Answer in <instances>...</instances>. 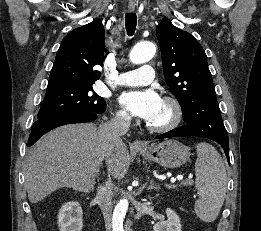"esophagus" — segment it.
<instances>
[{
  "instance_id": "esophagus-1",
  "label": "esophagus",
  "mask_w": 261,
  "mask_h": 231,
  "mask_svg": "<svg viewBox=\"0 0 261 231\" xmlns=\"http://www.w3.org/2000/svg\"><path fill=\"white\" fill-rule=\"evenodd\" d=\"M137 6V2L135 0H129L128 2V9L130 12L135 11V7ZM134 148H144L145 145L140 140H135L132 144Z\"/></svg>"
}]
</instances>
